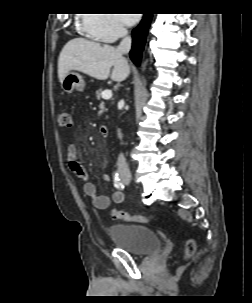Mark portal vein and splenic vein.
Returning <instances> with one entry per match:
<instances>
[{
	"label": "portal vein and splenic vein",
	"instance_id": "1",
	"mask_svg": "<svg viewBox=\"0 0 252 303\" xmlns=\"http://www.w3.org/2000/svg\"><path fill=\"white\" fill-rule=\"evenodd\" d=\"M101 97L105 100H109L112 98V91L109 90V89H106L104 90L102 93H101Z\"/></svg>",
	"mask_w": 252,
	"mask_h": 303
}]
</instances>
